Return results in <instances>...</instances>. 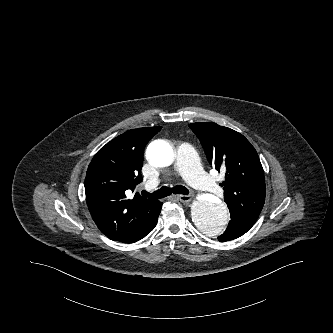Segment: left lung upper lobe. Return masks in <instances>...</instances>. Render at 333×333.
<instances>
[{
    "label": "left lung upper lobe",
    "instance_id": "obj_1",
    "mask_svg": "<svg viewBox=\"0 0 333 333\" xmlns=\"http://www.w3.org/2000/svg\"><path fill=\"white\" fill-rule=\"evenodd\" d=\"M199 138L207 159L225 172L224 198L230 209L258 217L265 201L264 171L258 154L240 133L213 122L189 125Z\"/></svg>",
    "mask_w": 333,
    "mask_h": 333
}]
</instances>
